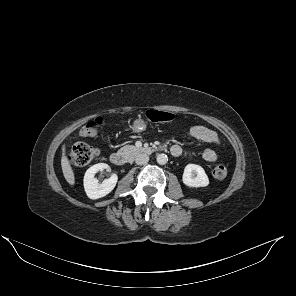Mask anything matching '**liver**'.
<instances>
[{"label":"liver","instance_id":"obj_1","mask_svg":"<svg viewBox=\"0 0 296 296\" xmlns=\"http://www.w3.org/2000/svg\"><path fill=\"white\" fill-rule=\"evenodd\" d=\"M62 151H63V153H62V158H61V167H62L63 175H64L66 181L70 185H74L75 184V176H74L73 169L69 163V160L66 156V146L65 145H63Z\"/></svg>","mask_w":296,"mask_h":296}]
</instances>
